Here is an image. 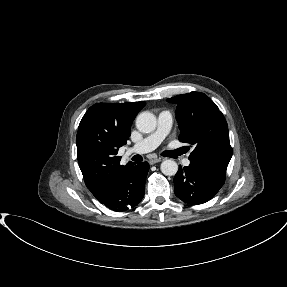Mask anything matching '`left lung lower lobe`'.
<instances>
[{"mask_svg": "<svg viewBox=\"0 0 287 287\" xmlns=\"http://www.w3.org/2000/svg\"><path fill=\"white\" fill-rule=\"evenodd\" d=\"M225 171L217 165L190 161L187 167H179L174 177V193L182 201L198 205L212 199L225 182Z\"/></svg>", "mask_w": 287, "mask_h": 287, "instance_id": "1", "label": "left lung lower lobe"}]
</instances>
